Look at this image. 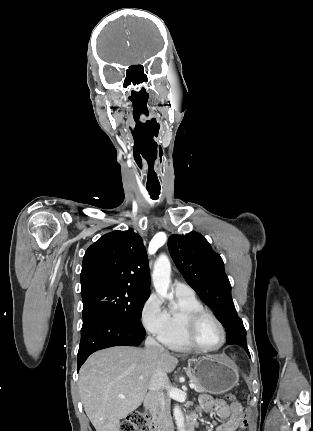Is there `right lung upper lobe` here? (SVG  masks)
Instances as JSON below:
<instances>
[{
    "instance_id": "1",
    "label": "right lung upper lobe",
    "mask_w": 313,
    "mask_h": 431,
    "mask_svg": "<svg viewBox=\"0 0 313 431\" xmlns=\"http://www.w3.org/2000/svg\"><path fill=\"white\" fill-rule=\"evenodd\" d=\"M150 273L143 240L131 231L103 235L86 251L81 271L82 297L113 287L150 294Z\"/></svg>"
}]
</instances>
